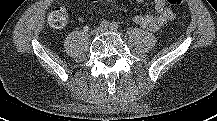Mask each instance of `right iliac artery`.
<instances>
[{"label": "right iliac artery", "instance_id": "obj_1", "mask_svg": "<svg viewBox=\"0 0 217 121\" xmlns=\"http://www.w3.org/2000/svg\"><path fill=\"white\" fill-rule=\"evenodd\" d=\"M100 26H101V28L106 29L109 26V22L108 21H102Z\"/></svg>", "mask_w": 217, "mask_h": 121}]
</instances>
